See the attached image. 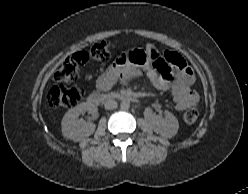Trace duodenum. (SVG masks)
Segmentation results:
<instances>
[{"mask_svg": "<svg viewBox=\"0 0 248 194\" xmlns=\"http://www.w3.org/2000/svg\"><path fill=\"white\" fill-rule=\"evenodd\" d=\"M119 100V101H135V99L125 93L109 92V93H91L88 96V102L92 105H100L106 101Z\"/></svg>", "mask_w": 248, "mask_h": 194, "instance_id": "410a0bca", "label": "duodenum"}]
</instances>
